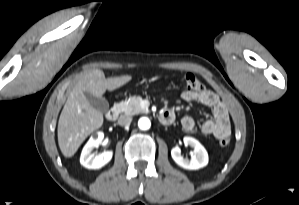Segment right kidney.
<instances>
[{"label":"right kidney","mask_w":299,"mask_h":205,"mask_svg":"<svg viewBox=\"0 0 299 205\" xmlns=\"http://www.w3.org/2000/svg\"><path fill=\"white\" fill-rule=\"evenodd\" d=\"M104 138L103 132H97L90 137L86 145L84 146L81 156L80 163L88 169H100L106 165L112 159V151H104L100 154H94L93 149L98 147Z\"/></svg>","instance_id":"1"}]
</instances>
